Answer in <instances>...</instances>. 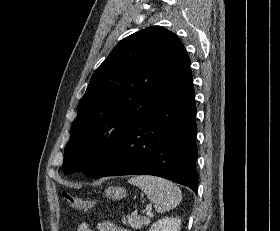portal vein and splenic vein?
Wrapping results in <instances>:
<instances>
[{"label":"portal vein and splenic vein","instance_id":"1","mask_svg":"<svg viewBox=\"0 0 280 231\" xmlns=\"http://www.w3.org/2000/svg\"><path fill=\"white\" fill-rule=\"evenodd\" d=\"M146 211H147V215H149V217H153V213L151 211L150 205H148V207H146Z\"/></svg>","mask_w":280,"mask_h":231}]
</instances>
